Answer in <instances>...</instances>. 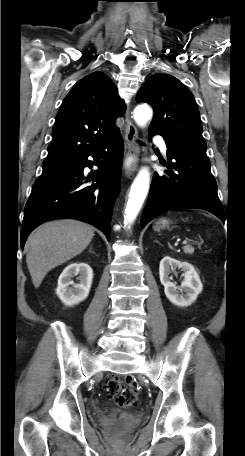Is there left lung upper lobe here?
<instances>
[{"instance_id": "left-lung-upper-lobe-1", "label": "left lung upper lobe", "mask_w": 245, "mask_h": 456, "mask_svg": "<svg viewBox=\"0 0 245 456\" xmlns=\"http://www.w3.org/2000/svg\"><path fill=\"white\" fill-rule=\"evenodd\" d=\"M136 101L153 107L149 132L207 156L197 103L189 89L177 78L165 73L150 76L138 91Z\"/></svg>"}]
</instances>
